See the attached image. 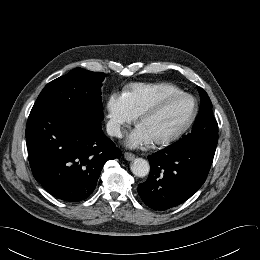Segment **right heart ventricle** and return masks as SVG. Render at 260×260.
<instances>
[{"label": "right heart ventricle", "mask_w": 260, "mask_h": 260, "mask_svg": "<svg viewBox=\"0 0 260 260\" xmlns=\"http://www.w3.org/2000/svg\"><path fill=\"white\" fill-rule=\"evenodd\" d=\"M181 91L170 83H139L129 86L123 93L130 110L139 115L157 99Z\"/></svg>", "instance_id": "1"}]
</instances>
